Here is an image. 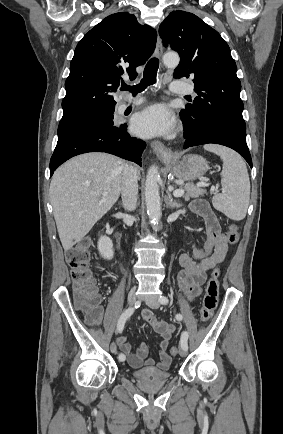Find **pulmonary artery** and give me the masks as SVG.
Wrapping results in <instances>:
<instances>
[{"instance_id":"1","label":"pulmonary artery","mask_w":283,"mask_h":434,"mask_svg":"<svg viewBox=\"0 0 283 434\" xmlns=\"http://www.w3.org/2000/svg\"><path fill=\"white\" fill-rule=\"evenodd\" d=\"M171 90L174 93L181 94V95H189V94H193L194 92V88L191 84L182 83V82H173L171 85ZM142 101L143 100L141 98L135 99L133 101H128V100L123 101L118 105V112L122 113L131 106H136L141 104Z\"/></svg>"}]
</instances>
